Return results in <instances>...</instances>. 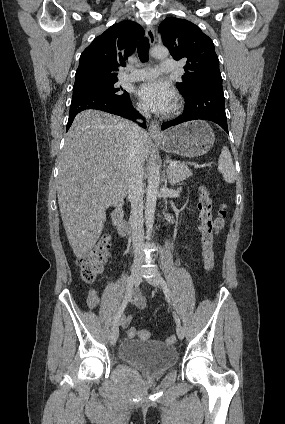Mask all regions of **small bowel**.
Returning <instances> with one entry per match:
<instances>
[{"mask_svg": "<svg viewBox=\"0 0 285 424\" xmlns=\"http://www.w3.org/2000/svg\"><path fill=\"white\" fill-rule=\"evenodd\" d=\"M132 306L137 307L139 309H143L146 306V297L142 296L138 290H134L131 299L128 301ZM87 304L90 308L96 309L100 304L101 300L98 297L97 293L95 291H91L89 293V296L87 298ZM122 308V304L119 306V309ZM126 308V307H125ZM125 308L123 310V313L121 314L120 318V325L123 328L128 327L130 323V316L128 313L125 312Z\"/></svg>", "mask_w": 285, "mask_h": 424, "instance_id": "1", "label": "small bowel"}]
</instances>
